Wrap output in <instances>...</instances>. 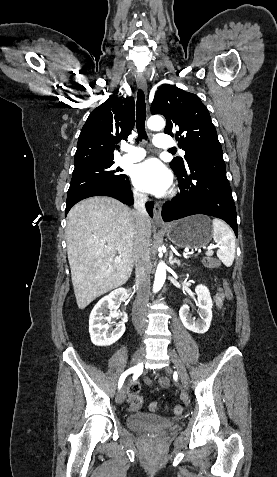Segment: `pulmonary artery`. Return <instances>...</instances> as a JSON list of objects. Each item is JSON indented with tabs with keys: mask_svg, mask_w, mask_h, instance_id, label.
Listing matches in <instances>:
<instances>
[{
	"mask_svg": "<svg viewBox=\"0 0 277 477\" xmlns=\"http://www.w3.org/2000/svg\"><path fill=\"white\" fill-rule=\"evenodd\" d=\"M154 145L159 148L170 149L175 146V143L169 139L167 135L157 134L154 138ZM181 155H184L185 152L180 149ZM146 153L143 148L139 147H129L127 148V153L121 157V161L125 163H133L142 160L145 157Z\"/></svg>",
	"mask_w": 277,
	"mask_h": 477,
	"instance_id": "pulmonary-artery-1",
	"label": "pulmonary artery"
}]
</instances>
